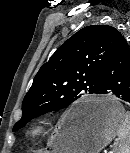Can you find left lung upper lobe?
Here are the masks:
<instances>
[{
  "mask_svg": "<svg viewBox=\"0 0 130 153\" xmlns=\"http://www.w3.org/2000/svg\"><path fill=\"white\" fill-rule=\"evenodd\" d=\"M122 37L112 26L91 25L65 41L36 74L13 131L39 115L97 94L103 69Z\"/></svg>",
  "mask_w": 130,
  "mask_h": 153,
  "instance_id": "left-lung-upper-lobe-1",
  "label": "left lung upper lobe"
}]
</instances>
